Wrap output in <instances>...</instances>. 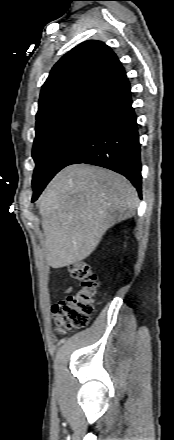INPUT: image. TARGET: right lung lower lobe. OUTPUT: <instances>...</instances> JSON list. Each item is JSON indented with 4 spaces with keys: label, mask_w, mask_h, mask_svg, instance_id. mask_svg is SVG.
Returning <instances> with one entry per match:
<instances>
[{
    "label": "right lung lower lobe",
    "mask_w": 174,
    "mask_h": 440,
    "mask_svg": "<svg viewBox=\"0 0 174 440\" xmlns=\"http://www.w3.org/2000/svg\"><path fill=\"white\" fill-rule=\"evenodd\" d=\"M140 152L130 84L125 76L97 94L89 129L67 165L86 163L118 172L131 181L141 196ZM45 186L41 184L33 189L32 201L38 198Z\"/></svg>",
    "instance_id": "obj_1"
}]
</instances>
